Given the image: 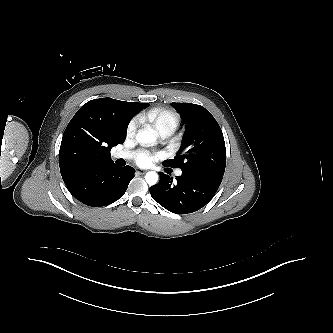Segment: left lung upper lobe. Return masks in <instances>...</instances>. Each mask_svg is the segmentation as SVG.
Masks as SVG:
<instances>
[{
    "instance_id": "1",
    "label": "left lung upper lobe",
    "mask_w": 333,
    "mask_h": 333,
    "mask_svg": "<svg viewBox=\"0 0 333 333\" xmlns=\"http://www.w3.org/2000/svg\"><path fill=\"white\" fill-rule=\"evenodd\" d=\"M186 120L187 130L174 159L166 167H178L182 172L211 173L223 176L226 148L223 133L215 118L203 106L192 103H172Z\"/></svg>"
}]
</instances>
